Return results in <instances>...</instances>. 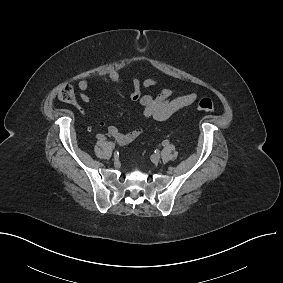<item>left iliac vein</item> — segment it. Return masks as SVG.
I'll return each mask as SVG.
<instances>
[{
  "label": "left iliac vein",
  "mask_w": 283,
  "mask_h": 283,
  "mask_svg": "<svg viewBox=\"0 0 283 283\" xmlns=\"http://www.w3.org/2000/svg\"><path fill=\"white\" fill-rule=\"evenodd\" d=\"M160 159H161V157H160L159 154H153L151 156V160H152L153 163H158L160 161Z\"/></svg>",
  "instance_id": "4c4485c4"
}]
</instances>
